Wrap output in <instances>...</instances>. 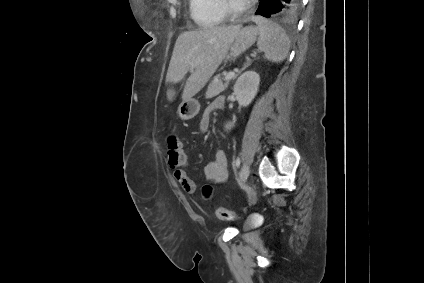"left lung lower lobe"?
Returning <instances> with one entry per match:
<instances>
[{"mask_svg": "<svg viewBox=\"0 0 424 283\" xmlns=\"http://www.w3.org/2000/svg\"><path fill=\"white\" fill-rule=\"evenodd\" d=\"M302 0H260L255 15L271 17L275 15L290 16L295 14L301 6Z\"/></svg>", "mask_w": 424, "mask_h": 283, "instance_id": "left-lung-lower-lobe-1", "label": "left lung lower lobe"}]
</instances>
